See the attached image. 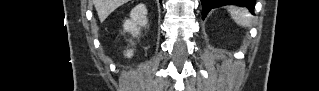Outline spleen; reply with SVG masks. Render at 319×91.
Listing matches in <instances>:
<instances>
[{"mask_svg":"<svg viewBox=\"0 0 319 91\" xmlns=\"http://www.w3.org/2000/svg\"><path fill=\"white\" fill-rule=\"evenodd\" d=\"M228 11L231 14L233 20L240 26L250 27L251 26V17L248 11L245 8L230 6Z\"/></svg>","mask_w":319,"mask_h":91,"instance_id":"1","label":"spleen"}]
</instances>
